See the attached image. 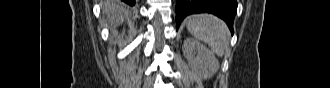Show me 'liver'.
Segmentation results:
<instances>
[{
    "instance_id": "liver-1",
    "label": "liver",
    "mask_w": 330,
    "mask_h": 88,
    "mask_svg": "<svg viewBox=\"0 0 330 88\" xmlns=\"http://www.w3.org/2000/svg\"><path fill=\"white\" fill-rule=\"evenodd\" d=\"M102 12L113 26L122 24L125 17L129 15V9L123 2L118 0H105Z\"/></svg>"
}]
</instances>
